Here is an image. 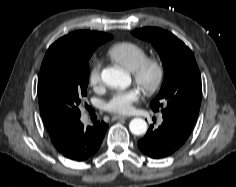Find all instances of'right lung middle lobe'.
Instances as JSON below:
<instances>
[{
  "label": "right lung middle lobe",
  "instance_id": "obj_1",
  "mask_svg": "<svg viewBox=\"0 0 236 187\" xmlns=\"http://www.w3.org/2000/svg\"><path fill=\"white\" fill-rule=\"evenodd\" d=\"M106 38L81 47L52 44L38 77V101L42 118L63 123L80 120L79 105L86 96L89 58Z\"/></svg>",
  "mask_w": 236,
  "mask_h": 187
}]
</instances>
